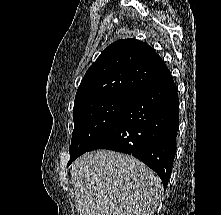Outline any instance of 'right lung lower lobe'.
Wrapping results in <instances>:
<instances>
[{"mask_svg": "<svg viewBox=\"0 0 221 215\" xmlns=\"http://www.w3.org/2000/svg\"><path fill=\"white\" fill-rule=\"evenodd\" d=\"M178 100L177 87L169 73L132 97L88 151L109 149L133 155L155 171L167 186L176 148Z\"/></svg>", "mask_w": 221, "mask_h": 215, "instance_id": "98d812e1", "label": "right lung lower lobe"}]
</instances>
